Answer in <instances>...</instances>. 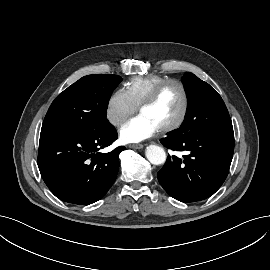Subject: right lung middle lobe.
Returning <instances> with one entry per match:
<instances>
[{
	"mask_svg": "<svg viewBox=\"0 0 270 270\" xmlns=\"http://www.w3.org/2000/svg\"><path fill=\"white\" fill-rule=\"evenodd\" d=\"M122 79L96 74L79 79L52 102L41 132L98 133L111 124L106 118L110 95Z\"/></svg>",
	"mask_w": 270,
	"mask_h": 270,
	"instance_id": "obj_1",
	"label": "right lung middle lobe"
}]
</instances>
